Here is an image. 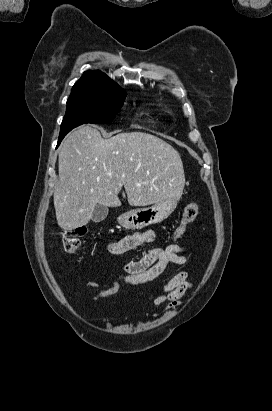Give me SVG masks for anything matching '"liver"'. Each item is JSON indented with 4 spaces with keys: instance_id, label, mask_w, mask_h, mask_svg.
I'll return each instance as SVG.
<instances>
[{
    "instance_id": "obj_1",
    "label": "liver",
    "mask_w": 272,
    "mask_h": 411,
    "mask_svg": "<svg viewBox=\"0 0 272 411\" xmlns=\"http://www.w3.org/2000/svg\"><path fill=\"white\" fill-rule=\"evenodd\" d=\"M58 164L54 207L63 230L86 225L97 204L119 207L122 186L130 206H148L181 195L185 185L179 153L144 132L103 139L96 128L79 127L62 142Z\"/></svg>"
}]
</instances>
